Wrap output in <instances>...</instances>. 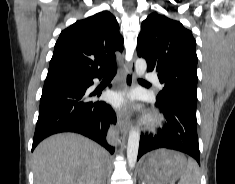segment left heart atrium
Masks as SVG:
<instances>
[{
  "mask_svg": "<svg viewBox=\"0 0 235 184\" xmlns=\"http://www.w3.org/2000/svg\"><path fill=\"white\" fill-rule=\"evenodd\" d=\"M130 98L125 94L114 93L110 96V101L117 107L124 106L129 103Z\"/></svg>",
  "mask_w": 235,
  "mask_h": 184,
  "instance_id": "1",
  "label": "left heart atrium"
}]
</instances>
